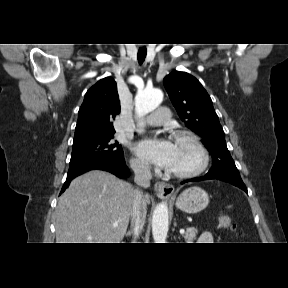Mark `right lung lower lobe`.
Wrapping results in <instances>:
<instances>
[{
  "label": "right lung lower lobe",
  "instance_id": "98d812e1",
  "mask_svg": "<svg viewBox=\"0 0 288 288\" xmlns=\"http://www.w3.org/2000/svg\"><path fill=\"white\" fill-rule=\"evenodd\" d=\"M93 169L109 171L120 178H126L129 175V169L126 166L124 159L113 160L103 156L86 158L75 163H70L67 178L61 193L69 186L72 179Z\"/></svg>",
  "mask_w": 288,
  "mask_h": 288
}]
</instances>
